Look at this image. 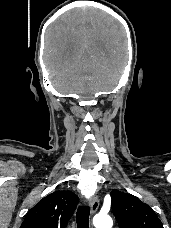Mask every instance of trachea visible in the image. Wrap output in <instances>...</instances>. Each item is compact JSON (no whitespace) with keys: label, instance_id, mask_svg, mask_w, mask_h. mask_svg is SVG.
<instances>
[{"label":"trachea","instance_id":"trachea-1","mask_svg":"<svg viewBox=\"0 0 171 228\" xmlns=\"http://www.w3.org/2000/svg\"><path fill=\"white\" fill-rule=\"evenodd\" d=\"M89 207H79L76 213L77 228H89Z\"/></svg>","mask_w":171,"mask_h":228}]
</instances>
